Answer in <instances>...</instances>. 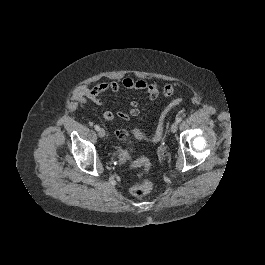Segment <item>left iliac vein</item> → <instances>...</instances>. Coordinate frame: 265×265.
<instances>
[{"instance_id":"4c4485c4","label":"left iliac vein","mask_w":265,"mask_h":265,"mask_svg":"<svg viewBox=\"0 0 265 265\" xmlns=\"http://www.w3.org/2000/svg\"><path fill=\"white\" fill-rule=\"evenodd\" d=\"M177 130H178V123L177 122H174L171 125V132L175 133Z\"/></svg>"}]
</instances>
